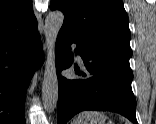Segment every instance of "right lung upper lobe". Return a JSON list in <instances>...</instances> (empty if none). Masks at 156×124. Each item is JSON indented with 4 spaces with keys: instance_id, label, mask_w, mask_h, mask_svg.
Wrapping results in <instances>:
<instances>
[{
    "instance_id": "obj_1",
    "label": "right lung upper lobe",
    "mask_w": 156,
    "mask_h": 124,
    "mask_svg": "<svg viewBox=\"0 0 156 124\" xmlns=\"http://www.w3.org/2000/svg\"><path fill=\"white\" fill-rule=\"evenodd\" d=\"M37 29L31 0H0V40Z\"/></svg>"
}]
</instances>
